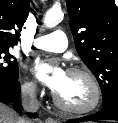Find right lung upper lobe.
Masks as SVG:
<instances>
[{
  "label": "right lung upper lobe",
  "instance_id": "right-lung-upper-lobe-1",
  "mask_svg": "<svg viewBox=\"0 0 118 123\" xmlns=\"http://www.w3.org/2000/svg\"><path fill=\"white\" fill-rule=\"evenodd\" d=\"M31 0H0V48H11L18 43Z\"/></svg>",
  "mask_w": 118,
  "mask_h": 123
}]
</instances>
